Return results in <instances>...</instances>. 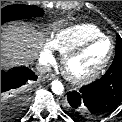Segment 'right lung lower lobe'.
I'll return each mask as SVG.
<instances>
[{
  "mask_svg": "<svg viewBox=\"0 0 122 122\" xmlns=\"http://www.w3.org/2000/svg\"><path fill=\"white\" fill-rule=\"evenodd\" d=\"M36 79L37 76L35 75V73L25 67L12 69L9 70L8 72L1 71V97H3L5 93L8 91H10V93L14 92L13 94L15 95L13 109H11L12 110L11 113H6L7 114V116H5L6 118L3 117L5 119L4 122L10 121L15 116H17L20 111H22L26 102L25 100L26 96L23 90L24 85L29 80H36ZM3 107L4 106L2 105L1 116L4 115Z\"/></svg>",
  "mask_w": 122,
  "mask_h": 122,
  "instance_id": "right-lung-lower-lobe-1",
  "label": "right lung lower lobe"
}]
</instances>
